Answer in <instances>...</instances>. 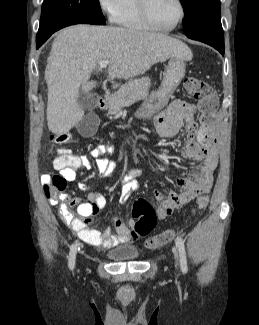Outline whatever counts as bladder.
I'll return each instance as SVG.
<instances>
[{
    "label": "bladder",
    "mask_w": 259,
    "mask_h": 325,
    "mask_svg": "<svg viewBox=\"0 0 259 325\" xmlns=\"http://www.w3.org/2000/svg\"><path fill=\"white\" fill-rule=\"evenodd\" d=\"M139 255V249L134 245L116 246L107 252L108 258L116 262L135 260Z\"/></svg>",
    "instance_id": "bladder-1"
}]
</instances>
